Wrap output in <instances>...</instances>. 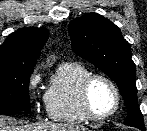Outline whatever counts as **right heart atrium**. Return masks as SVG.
<instances>
[{
    "label": "right heart atrium",
    "mask_w": 147,
    "mask_h": 131,
    "mask_svg": "<svg viewBox=\"0 0 147 131\" xmlns=\"http://www.w3.org/2000/svg\"><path fill=\"white\" fill-rule=\"evenodd\" d=\"M40 82H41V75L36 71L33 72L28 81V91H29L31 98H34L35 92ZM45 110L47 111L46 106H45Z\"/></svg>",
    "instance_id": "right-heart-atrium-1"
}]
</instances>
